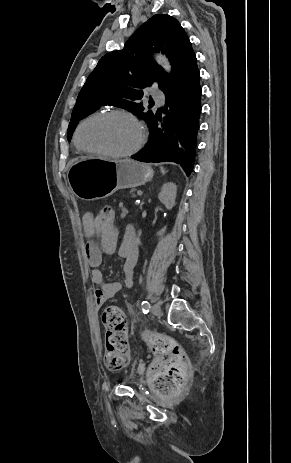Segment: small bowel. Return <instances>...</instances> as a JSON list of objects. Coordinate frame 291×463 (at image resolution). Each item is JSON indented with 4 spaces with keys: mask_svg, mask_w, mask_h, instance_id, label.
<instances>
[{
    "mask_svg": "<svg viewBox=\"0 0 291 463\" xmlns=\"http://www.w3.org/2000/svg\"><path fill=\"white\" fill-rule=\"evenodd\" d=\"M82 226L87 238L85 256L90 267V279L97 288L94 292V302L97 308L115 296L122 285L130 288L133 285L134 271L138 259V245L133 226H126L123 238L119 243V232L115 226H107L106 231L98 230L96 215L87 212L82 217ZM124 259L122 266V282L107 281L99 267L103 254H114Z\"/></svg>",
    "mask_w": 291,
    "mask_h": 463,
    "instance_id": "1",
    "label": "small bowel"
}]
</instances>
